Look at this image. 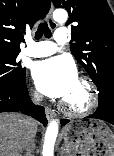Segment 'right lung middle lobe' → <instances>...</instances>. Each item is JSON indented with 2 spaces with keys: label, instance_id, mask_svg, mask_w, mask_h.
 <instances>
[{
  "label": "right lung middle lobe",
  "instance_id": "dd1d6c3e",
  "mask_svg": "<svg viewBox=\"0 0 114 156\" xmlns=\"http://www.w3.org/2000/svg\"><path fill=\"white\" fill-rule=\"evenodd\" d=\"M19 52H0V88L14 89L23 84L25 80V68L17 57Z\"/></svg>",
  "mask_w": 114,
  "mask_h": 156
}]
</instances>
